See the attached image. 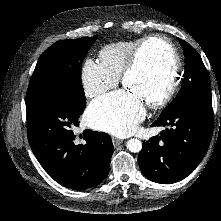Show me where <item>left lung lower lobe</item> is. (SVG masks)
I'll use <instances>...</instances> for the list:
<instances>
[{
	"label": "left lung lower lobe",
	"instance_id": "obj_1",
	"mask_svg": "<svg viewBox=\"0 0 221 221\" xmlns=\"http://www.w3.org/2000/svg\"><path fill=\"white\" fill-rule=\"evenodd\" d=\"M166 127L143 143L138 156L142 173L151 181L170 184L187 177L203 159L213 132L212 103L197 102L159 118Z\"/></svg>",
	"mask_w": 221,
	"mask_h": 221
}]
</instances>
